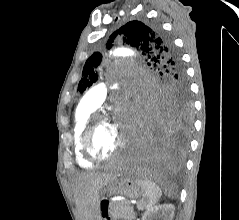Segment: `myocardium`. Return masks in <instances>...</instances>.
I'll return each mask as SVG.
<instances>
[{"label":"myocardium","mask_w":239,"mask_h":220,"mask_svg":"<svg viewBox=\"0 0 239 220\" xmlns=\"http://www.w3.org/2000/svg\"><path fill=\"white\" fill-rule=\"evenodd\" d=\"M110 118L107 115L96 113L90 116L82 133V151L84 156L92 162H106L115 158L125 145L124 139L120 137L116 148L106 156L97 155L92 148L93 133L97 125L101 122H109Z\"/></svg>","instance_id":"obj_1"}]
</instances>
